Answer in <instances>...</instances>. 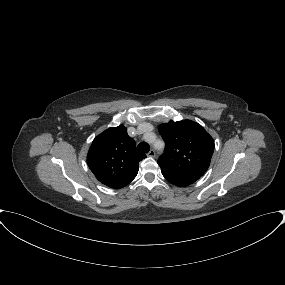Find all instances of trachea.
I'll use <instances>...</instances> for the list:
<instances>
[{"label":"trachea","instance_id":"obj_1","mask_svg":"<svg viewBox=\"0 0 285 285\" xmlns=\"http://www.w3.org/2000/svg\"><path fill=\"white\" fill-rule=\"evenodd\" d=\"M138 150L141 153H148L149 152V146H148L147 143L141 142V143L138 144Z\"/></svg>","mask_w":285,"mask_h":285}]
</instances>
